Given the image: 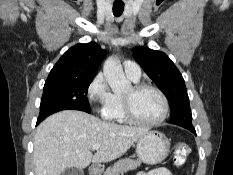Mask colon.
Instances as JSON below:
<instances>
[{
    "mask_svg": "<svg viewBox=\"0 0 233 175\" xmlns=\"http://www.w3.org/2000/svg\"><path fill=\"white\" fill-rule=\"evenodd\" d=\"M190 154V146L185 142H177L174 146V158L177 165H182Z\"/></svg>",
    "mask_w": 233,
    "mask_h": 175,
    "instance_id": "obj_1",
    "label": "colon"
}]
</instances>
